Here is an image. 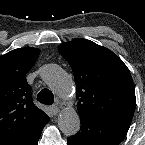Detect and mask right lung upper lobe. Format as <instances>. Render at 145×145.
<instances>
[{
  "mask_svg": "<svg viewBox=\"0 0 145 145\" xmlns=\"http://www.w3.org/2000/svg\"><path fill=\"white\" fill-rule=\"evenodd\" d=\"M39 54L36 48H20L0 56V145H11L49 121L33 104L26 80Z\"/></svg>",
  "mask_w": 145,
  "mask_h": 145,
  "instance_id": "1",
  "label": "right lung upper lobe"
}]
</instances>
